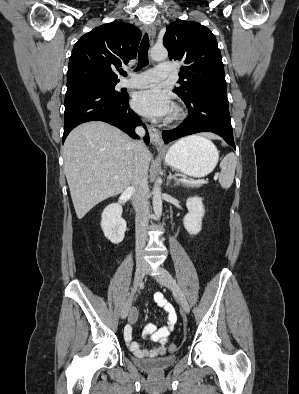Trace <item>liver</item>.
Segmentation results:
<instances>
[{
    "label": "liver",
    "mask_w": 299,
    "mask_h": 394,
    "mask_svg": "<svg viewBox=\"0 0 299 394\" xmlns=\"http://www.w3.org/2000/svg\"><path fill=\"white\" fill-rule=\"evenodd\" d=\"M144 156L149 166L151 153L148 149ZM63 158L79 219L101 201L122 193L132 183L134 141L107 123L92 121L72 130L63 146Z\"/></svg>",
    "instance_id": "6515ba94"
}]
</instances>
